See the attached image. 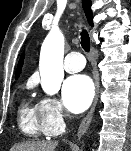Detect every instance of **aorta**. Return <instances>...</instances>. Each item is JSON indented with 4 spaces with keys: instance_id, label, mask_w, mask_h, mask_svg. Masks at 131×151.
Instances as JSON below:
<instances>
[{
    "instance_id": "1",
    "label": "aorta",
    "mask_w": 131,
    "mask_h": 151,
    "mask_svg": "<svg viewBox=\"0 0 131 151\" xmlns=\"http://www.w3.org/2000/svg\"><path fill=\"white\" fill-rule=\"evenodd\" d=\"M64 36L59 30H51L40 54V76L43 90L50 95L57 93L64 78Z\"/></svg>"
}]
</instances>
